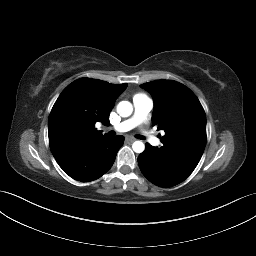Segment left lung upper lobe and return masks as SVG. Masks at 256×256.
I'll list each match as a JSON object with an SVG mask.
<instances>
[{
  "label": "left lung upper lobe",
  "mask_w": 256,
  "mask_h": 256,
  "mask_svg": "<svg viewBox=\"0 0 256 256\" xmlns=\"http://www.w3.org/2000/svg\"><path fill=\"white\" fill-rule=\"evenodd\" d=\"M154 100L153 126L165 131L158 151L175 161L195 168L206 145V116L195 94L172 80L141 85Z\"/></svg>",
  "instance_id": "left-lung-upper-lobe-1"
}]
</instances>
